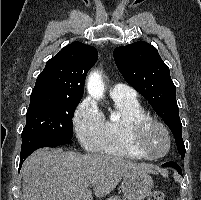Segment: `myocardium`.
I'll return each mask as SVG.
<instances>
[{
  "mask_svg": "<svg viewBox=\"0 0 201 200\" xmlns=\"http://www.w3.org/2000/svg\"><path fill=\"white\" fill-rule=\"evenodd\" d=\"M149 125L158 126L164 132L166 136L167 148L160 155H156V156L150 155L143 145V140H142L143 132L146 129V127ZM128 135H129V141L132 147L136 149L145 159L160 160L166 157L171 151L172 137H171L169 129L166 127V125L163 122L151 116L146 115V116L134 119L129 125Z\"/></svg>",
  "mask_w": 201,
  "mask_h": 200,
  "instance_id": "1",
  "label": "myocardium"
}]
</instances>
